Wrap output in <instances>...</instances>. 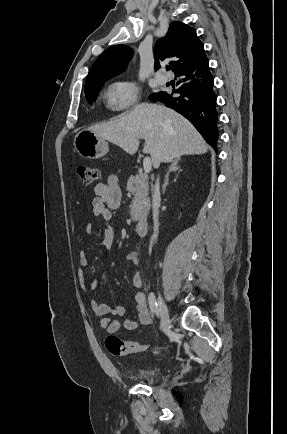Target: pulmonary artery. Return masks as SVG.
I'll return each instance as SVG.
<instances>
[{
	"label": "pulmonary artery",
	"instance_id": "obj_1",
	"mask_svg": "<svg viewBox=\"0 0 287 434\" xmlns=\"http://www.w3.org/2000/svg\"><path fill=\"white\" fill-rule=\"evenodd\" d=\"M156 80L160 84H165L169 81V76L164 71H162V73H159L156 76Z\"/></svg>",
	"mask_w": 287,
	"mask_h": 434
}]
</instances>
